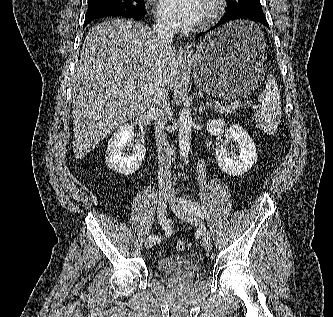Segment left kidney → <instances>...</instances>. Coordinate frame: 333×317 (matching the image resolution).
I'll return each mask as SVG.
<instances>
[{"label":"left kidney","mask_w":333,"mask_h":317,"mask_svg":"<svg viewBox=\"0 0 333 317\" xmlns=\"http://www.w3.org/2000/svg\"><path fill=\"white\" fill-rule=\"evenodd\" d=\"M226 125V122L221 119H212L207 122L206 129L209 134L214 136L221 135L227 130L230 137L238 143L239 155L229 154L226 148L221 145L216 148L215 156L218 166L223 172L232 176H240L256 164V147L244 128L233 124L226 129Z\"/></svg>","instance_id":"obj_1"}]
</instances>
